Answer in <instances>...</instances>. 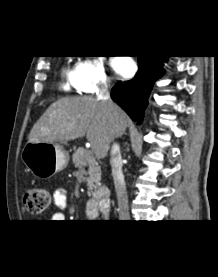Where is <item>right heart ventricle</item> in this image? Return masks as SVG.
Segmentation results:
<instances>
[{
	"label": "right heart ventricle",
	"instance_id": "right-heart-ventricle-1",
	"mask_svg": "<svg viewBox=\"0 0 218 277\" xmlns=\"http://www.w3.org/2000/svg\"><path fill=\"white\" fill-rule=\"evenodd\" d=\"M76 74L75 68L65 67L62 70V78H63V90L69 92L72 88H75L74 78Z\"/></svg>",
	"mask_w": 218,
	"mask_h": 277
}]
</instances>
